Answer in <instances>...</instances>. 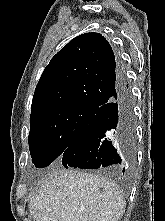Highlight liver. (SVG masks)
<instances>
[{"mask_svg": "<svg viewBox=\"0 0 165 221\" xmlns=\"http://www.w3.org/2000/svg\"><path fill=\"white\" fill-rule=\"evenodd\" d=\"M29 210L36 221H119L125 200L101 175L53 169L30 198Z\"/></svg>", "mask_w": 165, "mask_h": 221, "instance_id": "1", "label": "liver"}]
</instances>
